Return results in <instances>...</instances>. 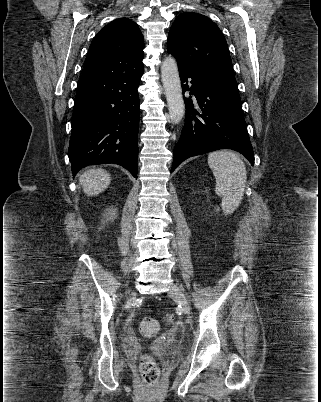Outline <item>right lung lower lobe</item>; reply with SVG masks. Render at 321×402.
I'll use <instances>...</instances> for the list:
<instances>
[{
	"instance_id": "obj_1",
	"label": "right lung lower lobe",
	"mask_w": 321,
	"mask_h": 402,
	"mask_svg": "<svg viewBox=\"0 0 321 402\" xmlns=\"http://www.w3.org/2000/svg\"><path fill=\"white\" fill-rule=\"evenodd\" d=\"M143 70L80 79L68 156L73 176L88 165L115 163L137 178L139 96Z\"/></svg>"
}]
</instances>
